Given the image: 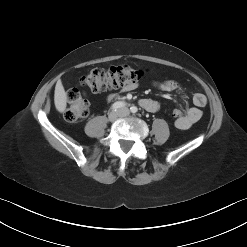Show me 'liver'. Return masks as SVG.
Wrapping results in <instances>:
<instances>
[{
  "instance_id": "6515ba94",
  "label": "liver",
  "mask_w": 247,
  "mask_h": 247,
  "mask_svg": "<svg viewBox=\"0 0 247 247\" xmlns=\"http://www.w3.org/2000/svg\"><path fill=\"white\" fill-rule=\"evenodd\" d=\"M54 103L56 109L63 113L66 109V103H67V95L64 90V87L62 85L61 80H58L55 86V92H54Z\"/></svg>"
}]
</instances>
